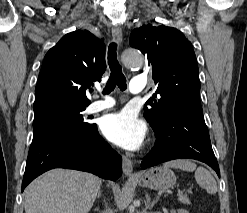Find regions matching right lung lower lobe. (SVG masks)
<instances>
[{
  "mask_svg": "<svg viewBox=\"0 0 247 213\" xmlns=\"http://www.w3.org/2000/svg\"><path fill=\"white\" fill-rule=\"evenodd\" d=\"M53 168L91 172L115 181L122 175V158L92 127L45 124L34 130L25 173L24 188Z\"/></svg>",
  "mask_w": 247,
  "mask_h": 213,
  "instance_id": "right-lung-lower-lobe-1",
  "label": "right lung lower lobe"
}]
</instances>
